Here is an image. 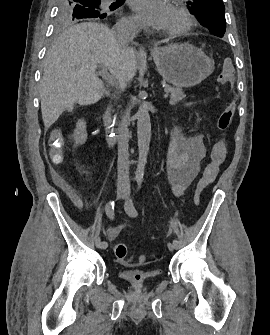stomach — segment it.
<instances>
[{"label": "stomach", "instance_id": "stomach-1", "mask_svg": "<svg viewBox=\"0 0 270 335\" xmlns=\"http://www.w3.org/2000/svg\"><path fill=\"white\" fill-rule=\"evenodd\" d=\"M151 56L162 78L176 88L196 86L214 70V60L188 42L152 48Z\"/></svg>", "mask_w": 270, "mask_h": 335}]
</instances>
